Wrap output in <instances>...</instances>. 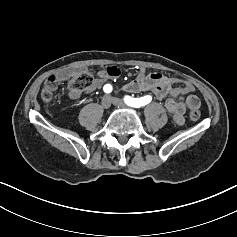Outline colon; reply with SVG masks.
Wrapping results in <instances>:
<instances>
[{
    "mask_svg": "<svg viewBox=\"0 0 237 237\" xmlns=\"http://www.w3.org/2000/svg\"><path fill=\"white\" fill-rule=\"evenodd\" d=\"M94 78L88 72L77 73L73 76L69 83V88L72 91L81 92L91 87ZM57 79L55 76H50L46 81L41 93V97L45 102H50L55 99V92L57 90ZM190 118L197 121L200 118V112L194 109L190 112Z\"/></svg>",
    "mask_w": 237,
    "mask_h": 237,
    "instance_id": "1",
    "label": "colon"
}]
</instances>
